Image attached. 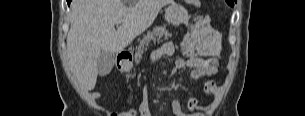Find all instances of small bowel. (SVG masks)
Here are the masks:
<instances>
[{"instance_id": "1", "label": "small bowel", "mask_w": 305, "mask_h": 116, "mask_svg": "<svg viewBox=\"0 0 305 116\" xmlns=\"http://www.w3.org/2000/svg\"><path fill=\"white\" fill-rule=\"evenodd\" d=\"M174 45L172 42H165L152 56L153 61H157L161 57L171 56L174 53ZM220 51V43L217 39L209 37L199 43L196 54L189 56L187 59L179 58L175 61L172 71L182 69L184 67L190 68L191 78L198 80L203 77H212L218 71V62L215 56ZM217 86L214 81L207 80L204 83L203 91L206 94L212 95L216 92ZM190 113L183 111L181 103L178 100H173L171 109L175 116H203L202 110L207 107L201 105L195 97H190L186 102ZM139 116H151L149 109L148 89H145L143 100L138 107Z\"/></svg>"}]
</instances>
